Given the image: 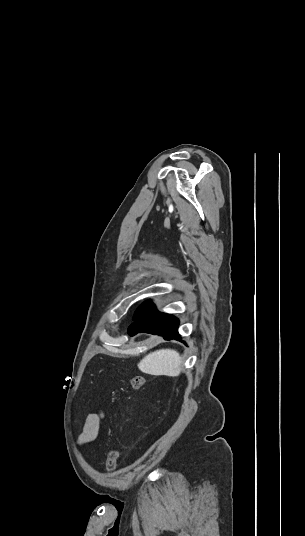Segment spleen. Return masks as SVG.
Instances as JSON below:
<instances>
[{
	"label": "spleen",
	"mask_w": 305,
	"mask_h": 536,
	"mask_svg": "<svg viewBox=\"0 0 305 536\" xmlns=\"http://www.w3.org/2000/svg\"><path fill=\"white\" fill-rule=\"evenodd\" d=\"M182 358L175 350H157L145 356L138 364L139 370L151 376H179Z\"/></svg>",
	"instance_id": "spleen-1"
}]
</instances>
